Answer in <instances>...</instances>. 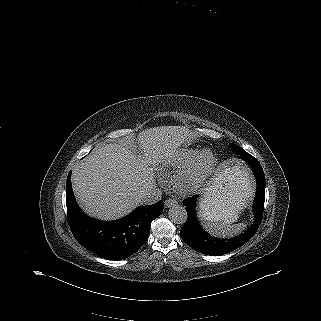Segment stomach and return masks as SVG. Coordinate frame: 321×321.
<instances>
[{
    "instance_id": "stomach-1",
    "label": "stomach",
    "mask_w": 321,
    "mask_h": 321,
    "mask_svg": "<svg viewBox=\"0 0 321 321\" xmlns=\"http://www.w3.org/2000/svg\"><path fill=\"white\" fill-rule=\"evenodd\" d=\"M252 192V180L247 168L238 162L228 163L204 193L200 208L219 201L227 207L228 218L232 222L248 203Z\"/></svg>"
}]
</instances>
